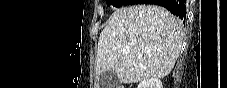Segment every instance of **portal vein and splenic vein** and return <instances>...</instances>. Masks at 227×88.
I'll return each instance as SVG.
<instances>
[{
  "label": "portal vein and splenic vein",
  "instance_id": "18ae733b",
  "mask_svg": "<svg viewBox=\"0 0 227 88\" xmlns=\"http://www.w3.org/2000/svg\"><path fill=\"white\" fill-rule=\"evenodd\" d=\"M128 51V49H123V52H127Z\"/></svg>",
  "mask_w": 227,
  "mask_h": 88
}]
</instances>
